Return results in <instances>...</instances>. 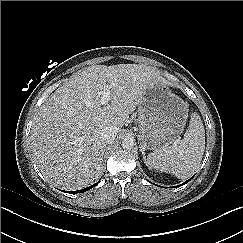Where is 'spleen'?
<instances>
[{"instance_id": "spleen-1", "label": "spleen", "mask_w": 243, "mask_h": 243, "mask_svg": "<svg viewBox=\"0 0 243 243\" xmlns=\"http://www.w3.org/2000/svg\"><path fill=\"white\" fill-rule=\"evenodd\" d=\"M205 150V130L197 113L191 115L184 138L176 139L147 156L146 164L162 172L186 179L199 168Z\"/></svg>"}]
</instances>
